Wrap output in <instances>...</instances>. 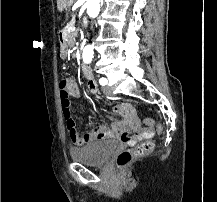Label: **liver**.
I'll return each instance as SVG.
<instances>
[{
	"mask_svg": "<svg viewBox=\"0 0 217 202\" xmlns=\"http://www.w3.org/2000/svg\"><path fill=\"white\" fill-rule=\"evenodd\" d=\"M74 2L75 0H57V8L59 12H64V10L69 12V8L74 4Z\"/></svg>",
	"mask_w": 217,
	"mask_h": 202,
	"instance_id": "obj_1",
	"label": "liver"
}]
</instances>
